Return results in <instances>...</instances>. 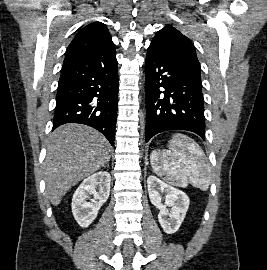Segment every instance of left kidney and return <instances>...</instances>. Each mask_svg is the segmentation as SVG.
<instances>
[{"instance_id": "1", "label": "left kidney", "mask_w": 267, "mask_h": 270, "mask_svg": "<svg viewBox=\"0 0 267 270\" xmlns=\"http://www.w3.org/2000/svg\"><path fill=\"white\" fill-rule=\"evenodd\" d=\"M147 187L151 203L159 209L158 220L164 232L175 233L181 226L189 208V197L183 191L154 175L148 177ZM163 193L166 194L164 203H162ZM167 206L171 207L170 213Z\"/></svg>"}]
</instances>
